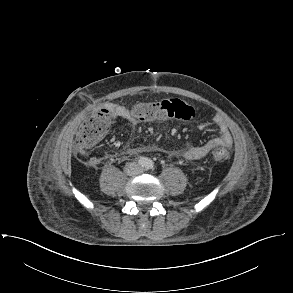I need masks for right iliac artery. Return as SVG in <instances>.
I'll return each mask as SVG.
<instances>
[{
	"label": "right iliac artery",
	"instance_id": "obj_1",
	"mask_svg": "<svg viewBox=\"0 0 293 293\" xmlns=\"http://www.w3.org/2000/svg\"><path fill=\"white\" fill-rule=\"evenodd\" d=\"M147 163V159L145 157H139L138 164L141 166H145Z\"/></svg>",
	"mask_w": 293,
	"mask_h": 293
}]
</instances>
